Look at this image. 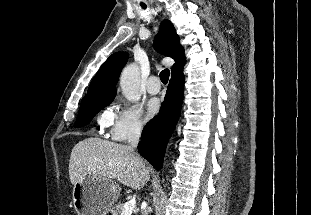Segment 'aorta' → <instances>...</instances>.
Here are the masks:
<instances>
[{
	"instance_id": "obj_1",
	"label": "aorta",
	"mask_w": 311,
	"mask_h": 215,
	"mask_svg": "<svg viewBox=\"0 0 311 215\" xmlns=\"http://www.w3.org/2000/svg\"><path fill=\"white\" fill-rule=\"evenodd\" d=\"M140 71L136 64L127 65L120 76V87L124 97L130 102L140 99Z\"/></svg>"
}]
</instances>
